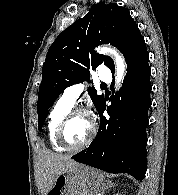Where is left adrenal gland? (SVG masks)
I'll use <instances>...</instances> for the list:
<instances>
[{
    "instance_id": "obj_1",
    "label": "left adrenal gland",
    "mask_w": 178,
    "mask_h": 195,
    "mask_svg": "<svg viewBox=\"0 0 178 195\" xmlns=\"http://www.w3.org/2000/svg\"><path fill=\"white\" fill-rule=\"evenodd\" d=\"M114 186V183H111L110 181H108L107 183L103 184L102 185V194L101 195H104L105 194V191L109 188V187H112Z\"/></svg>"
}]
</instances>
